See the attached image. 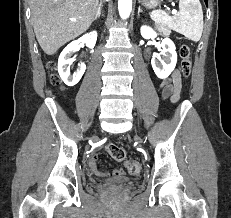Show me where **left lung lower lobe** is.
<instances>
[{
  "mask_svg": "<svg viewBox=\"0 0 231 218\" xmlns=\"http://www.w3.org/2000/svg\"><path fill=\"white\" fill-rule=\"evenodd\" d=\"M204 1H205V3L207 4L208 0H204Z\"/></svg>",
  "mask_w": 231,
  "mask_h": 218,
  "instance_id": "1",
  "label": "left lung lower lobe"
}]
</instances>
